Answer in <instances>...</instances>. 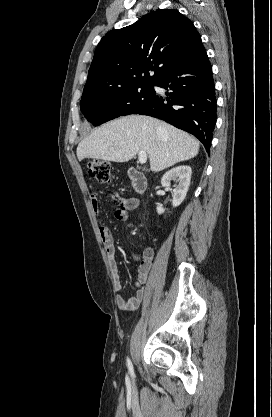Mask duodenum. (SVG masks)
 <instances>
[{
	"label": "duodenum",
	"mask_w": 272,
	"mask_h": 417,
	"mask_svg": "<svg viewBox=\"0 0 272 417\" xmlns=\"http://www.w3.org/2000/svg\"><path fill=\"white\" fill-rule=\"evenodd\" d=\"M128 176L132 183V186L137 193H142L146 189L145 176L135 168L128 170Z\"/></svg>",
	"instance_id": "duodenum-1"
}]
</instances>
